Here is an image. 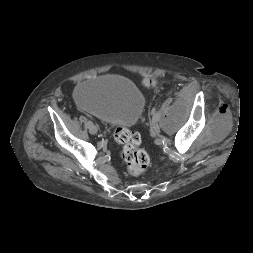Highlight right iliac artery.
<instances>
[{
  "instance_id": "right-iliac-artery-1",
  "label": "right iliac artery",
  "mask_w": 253,
  "mask_h": 253,
  "mask_svg": "<svg viewBox=\"0 0 253 253\" xmlns=\"http://www.w3.org/2000/svg\"><path fill=\"white\" fill-rule=\"evenodd\" d=\"M86 124H87V127H89L92 124V122L91 121H86Z\"/></svg>"
}]
</instances>
